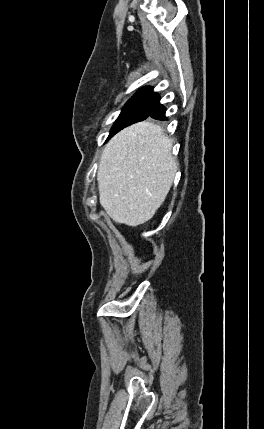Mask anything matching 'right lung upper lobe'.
<instances>
[{"mask_svg": "<svg viewBox=\"0 0 264 429\" xmlns=\"http://www.w3.org/2000/svg\"><path fill=\"white\" fill-rule=\"evenodd\" d=\"M144 88H151L150 86L144 87Z\"/></svg>", "mask_w": 264, "mask_h": 429, "instance_id": "right-lung-upper-lobe-1", "label": "right lung upper lobe"}]
</instances>
